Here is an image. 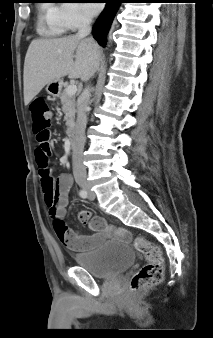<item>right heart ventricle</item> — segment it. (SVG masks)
Segmentation results:
<instances>
[{
	"label": "right heart ventricle",
	"instance_id": "right-heart-ventricle-1",
	"mask_svg": "<svg viewBox=\"0 0 213 338\" xmlns=\"http://www.w3.org/2000/svg\"><path fill=\"white\" fill-rule=\"evenodd\" d=\"M43 15L41 17L39 30L48 36H58L67 31L65 25L59 17V8L50 4L43 7Z\"/></svg>",
	"mask_w": 213,
	"mask_h": 338
}]
</instances>
